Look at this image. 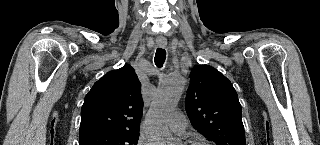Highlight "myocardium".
<instances>
[{
    "instance_id": "1",
    "label": "myocardium",
    "mask_w": 320,
    "mask_h": 145,
    "mask_svg": "<svg viewBox=\"0 0 320 145\" xmlns=\"http://www.w3.org/2000/svg\"><path fill=\"white\" fill-rule=\"evenodd\" d=\"M184 145H209L203 140H189L184 143Z\"/></svg>"
}]
</instances>
